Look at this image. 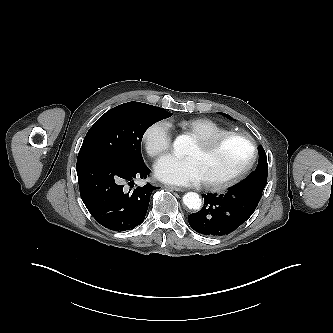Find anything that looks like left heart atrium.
<instances>
[{
    "instance_id": "39dd6f15",
    "label": "left heart atrium",
    "mask_w": 333,
    "mask_h": 333,
    "mask_svg": "<svg viewBox=\"0 0 333 333\" xmlns=\"http://www.w3.org/2000/svg\"><path fill=\"white\" fill-rule=\"evenodd\" d=\"M155 173L160 180L177 185H197L203 181L198 164L190 157L167 155L156 163Z\"/></svg>"
}]
</instances>
